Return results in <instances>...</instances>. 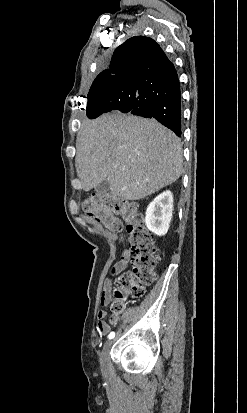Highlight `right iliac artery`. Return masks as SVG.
I'll return each mask as SVG.
<instances>
[{
    "mask_svg": "<svg viewBox=\"0 0 247 413\" xmlns=\"http://www.w3.org/2000/svg\"><path fill=\"white\" fill-rule=\"evenodd\" d=\"M108 337H109V339L114 338V337H115V332H111V333L108 335Z\"/></svg>",
    "mask_w": 247,
    "mask_h": 413,
    "instance_id": "obj_1",
    "label": "right iliac artery"
}]
</instances>
